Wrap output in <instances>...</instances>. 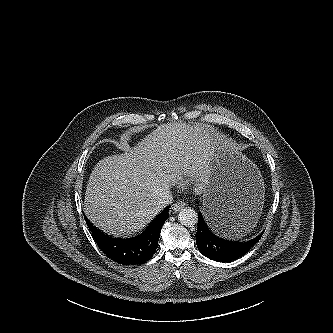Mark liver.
Here are the masks:
<instances>
[{"instance_id":"obj_1","label":"liver","mask_w":333,"mask_h":333,"mask_svg":"<svg viewBox=\"0 0 333 333\" xmlns=\"http://www.w3.org/2000/svg\"><path fill=\"white\" fill-rule=\"evenodd\" d=\"M212 140L209 127L202 123H167L124 154L100 160L87 184V218L105 233L128 236L156 217L160 195L183 176L195 182L196 194H202Z\"/></svg>"}]
</instances>
